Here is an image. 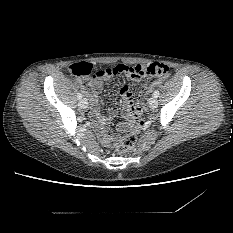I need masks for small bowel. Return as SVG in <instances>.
<instances>
[{
    "label": "small bowel",
    "mask_w": 233,
    "mask_h": 233,
    "mask_svg": "<svg viewBox=\"0 0 233 233\" xmlns=\"http://www.w3.org/2000/svg\"><path fill=\"white\" fill-rule=\"evenodd\" d=\"M144 67H146V66H144ZM110 77L111 76H107L105 78L89 79L86 84H84L81 80L79 81L80 87L82 88L84 93L88 95V97L91 100V103H92L91 114L93 115V117L95 119H97V121L100 124H104L105 122H107L109 119H111L112 117H114L117 114V109L115 107H109L107 109V111L105 113H103L101 111V103H100V100L98 98V93L102 89V80L106 79V78H110ZM159 83H160V80H157L151 84H144L142 87L141 93L145 94L150 87L155 86ZM120 94H121L123 101H124L123 113L125 116V120L121 121L117 125V130L119 132H123V131L131 128L134 125L135 117L133 115L127 113V111H126V106L133 104L132 93H131L130 87L128 85H123L120 88ZM97 133H98L100 141L105 146H108L115 138L114 135L107 134L102 127H99L97 129Z\"/></svg>",
    "instance_id": "small-bowel-1"
}]
</instances>
